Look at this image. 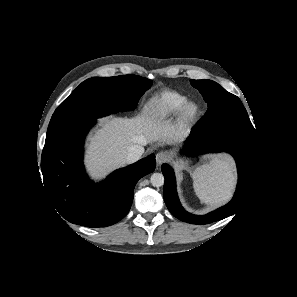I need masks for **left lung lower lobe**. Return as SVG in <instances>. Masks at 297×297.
Wrapping results in <instances>:
<instances>
[{"label":"left lung lower lobe","instance_id":"obj_1","mask_svg":"<svg viewBox=\"0 0 297 297\" xmlns=\"http://www.w3.org/2000/svg\"><path fill=\"white\" fill-rule=\"evenodd\" d=\"M184 151L188 155L209 152L231 154L238 169L237 188L232 200L227 205L206 215H193L185 211L180 204L173 169L169 165L163 164L161 166L165 177L163 196L169 211L179 220L192 224H209L238 213L250 194L254 175L257 171L258 153L255 138L232 130L200 133L194 126L190 136L185 141Z\"/></svg>","mask_w":297,"mask_h":297}]
</instances>
